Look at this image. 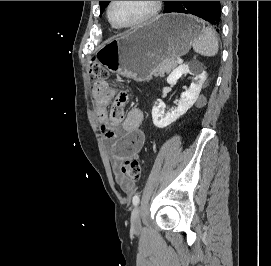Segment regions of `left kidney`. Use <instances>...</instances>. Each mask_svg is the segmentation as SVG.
Returning <instances> with one entry per match:
<instances>
[{"mask_svg":"<svg viewBox=\"0 0 271 266\" xmlns=\"http://www.w3.org/2000/svg\"><path fill=\"white\" fill-rule=\"evenodd\" d=\"M195 75V82H192L189 88L182 94L176 109L165 113V104L162 101L157 102L152 108L153 123L158 128H165L184 115L190 107L194 105L199 97L201 86L207 78L206 72L199 64H193L190 67L184 64L176 68L167 78V83L174 85L183 74Z\"/></svg>","mask_w":271,"mask_h":266,"instance_id":"5707ae66","label":"left kidney"}]
</instances>
